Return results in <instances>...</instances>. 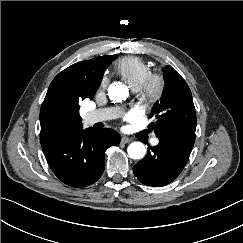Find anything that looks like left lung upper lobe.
Returning <instances> with one entry per match:
<instances>
[{
	"label": "left lung upper lobe",
	"instance_id": "left-lung-upper-lobe-1",
	"mask_svg": "<svg viewBox=\"0 0 243 243\" xmlns=\"http://www.w3.org/2000/svg\"><path fill=\"white\" fill-rule=\"evenodd\" d=\"M163 96L151 111V123L159 140L170 141L192 151L195 142L196 115L191 91L181 75L171 66L163 73Z\"/></svg>",
	"mask_w": 243,
	"mask_h": 243
}]
</instances>
